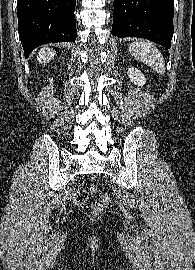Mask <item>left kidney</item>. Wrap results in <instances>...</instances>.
I'll list each match as a JSON object with an SVG mask.
<instances>
[{
	"label": "left kidney",
	"instance_id": "obj_1",
	"mask_svg": "<svg viewBox=\"0 0 195 270\" xmlns=\"http://www.w3.org/2000/svg\"><path fill=\"white\" fill-rule=\"evenodd\" d=\"M128 76L136 85L143 86L146 83L143 73L134 67L128 69Z\"/></svg>",
	"mask_w": 195,
	"mask_h": 270
}]
</instances>
